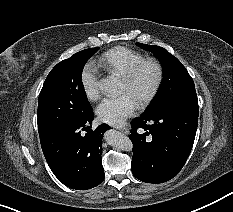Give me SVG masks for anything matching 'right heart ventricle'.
Here are the masks:
<instances>
[{
    "mask_svg": "<svg viewBox=\"0 0 233 212\" xmlns=\"http://www.w3.org/2000/svg\"><path fill=\"white\" fill-rule=\"evenodd\" d=\"M144 55L133 49L118 46L104 52L97 60V66L110 73L124 75Z\"/></svg>",
    "mask_w": 233,
    "mask_h": 212,
    "instance_id": "1",
    "label": "right heart ventricle"
}]
</instances>
